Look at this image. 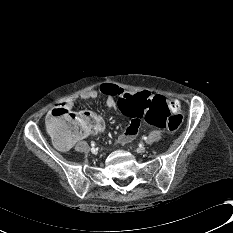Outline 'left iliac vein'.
<instances>
[{
  "instance_id": "obj_1",
  "label": "left iliac vein",
  "mask_w": 233,
  "mask_h": 233,
  "mask_svg": "<svg viewBox=\"0 0 233 233\" xmlns=\"http://www.w3.org/2000/svg\"><path fill=\"white\" fill-rule=\"evenodd\" d=\"M145 151H146V147L145 146H140L138 148V152H140V153H144Z\"/></svg>"
}]
</instances>
